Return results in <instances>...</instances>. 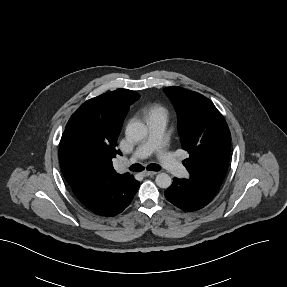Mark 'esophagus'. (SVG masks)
Wrapping results in <instances>:
<instances>
[{
	"instance_id": "esophagus-1",
	"label": "esophagus",
	"mask_w": 287,
	"mask_h": 287,
	"mask_svg": "<svg viewBox=\"0 0 287 287\" xmlns=\"http://www.w3.org/2000/svg\"><path fill=\"white\" fill-rule=\"evenodd\" d=\"M144 176H151L157 174L156 171H143L142 173Z\"/></svg>"
}]
</instances>
